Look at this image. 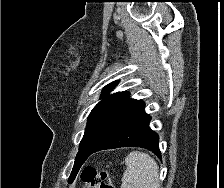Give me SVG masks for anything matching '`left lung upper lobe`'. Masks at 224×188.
I'll return each mask as SVG.
<instances>
[{
  "instance_id": "obj_1",
  "label": "left lung upper lobe",
  "mask_w": 224,
  "mask_h": 188,
  "mask_svg": "<svg viewBox=\"0 0 224 188\" xmlns=\"http://www.w3.org/2000/svg\"><path fill=\"white\" fill-rule=\"evenodd\" d=\"M116 85L117 82H113L105 87L102 93L105 98L91 111L84 136L79 146V152L76 156L77 159H84L87 153L92 151L113 128L120 116L137 101L129 98V92H118L109 95V92ZM79 168L80 166L73 167V171Z\"/></svg>"
}]
</instances>
